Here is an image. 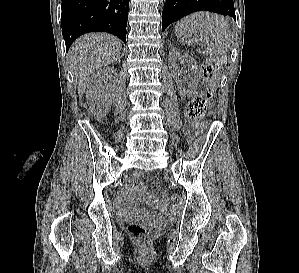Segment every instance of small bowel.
<instances>
[{"mask_svg":"<svg viewBox=\"0 0 299 273\" xmlns=\"http://www.w3.org/2000/svg\"><path fill=\"white\" fill-rule=\"evenodd\" d=\"M136 198H142L151 204L155 209V217L159 220H164L169 217L168 207H167V197L166 195L157 196L149 192H141L138 196L126 195L121 202V211L127 217H142L147 216L143 210H137L131 205Z\"/></svg>","mask_w":299,"mask_h":273,"instance_id":"small-bowel-1","label":"small bowel"}]
</instances>
